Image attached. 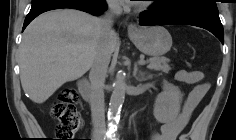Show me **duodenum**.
<instances>
[{
  "label": "duodenum",
  "instance_id": "1",
  "mask_svg": "<svg viewBox=\"0 0 236 140\" xmlns=\"http://www.w3.org/2000/svg\"><path fill=\"white\" fill-rule=\"evenodd\" d=\"M78 88H79V91H80L82 97L86 101H89L91 98V89H90L89 82L86 78H81L78 81Z\"/></svg>",
  "mask_w": 236,
  "mask_h": 140
}]
</instances>
